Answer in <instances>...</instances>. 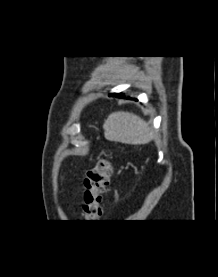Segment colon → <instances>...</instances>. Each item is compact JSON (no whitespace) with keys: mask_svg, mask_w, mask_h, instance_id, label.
Returning a JSON list of instances; mask_svg holds the SVG:
<instances>
[{"mask_svg":"<svg viewBox=\"0 0 218 277\" xmlns=\"http://www.w3.org/2000/svg\"><path fill=\"white\" fill-rule=\"evenodd\" d=\"M112 176V164L107 158H100L87 169L84 180V203L82 215L85 222H95L102 213L104 195Z\"/></svg>","mask_w":218,"mask_h":277,"instance_id":"5ec220e1","label":"colon"}]
</instances>
